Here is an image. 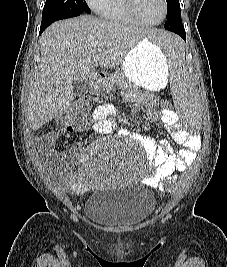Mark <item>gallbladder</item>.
<instances>
[{
	"instance_id": "1",
	"label": "gallbladder",
	"mask_w": 227,
	"mask_h": 267,
	"mask_svg": "<svg viewBox=\"0 0 227 267\" xmlns=\"http://www.w3.org/2000/svg\"><path fill=\"white\" fill-rule=\"evenodd\" d=\"M88 89V84L82 80H76L74 83L75 95L80 96Z\"/></svg>"
}]
</instances>
